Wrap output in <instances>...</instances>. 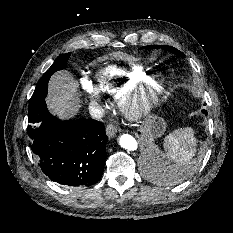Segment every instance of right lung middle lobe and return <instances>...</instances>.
<instances>
[{
  "instance_id": "dd1d6c3e",
  "label": "right lung middle lobe",
  "mask_w": 233,
  "mask_h": 233,
  "mask_svg": "<svg viewBox=\"0 0 233 233\" xmlns=\"http://www.w3.org/2000/svg\"><path fill=\"white\" fill-rule=\"evenodd\" d=\"M69 57L70 53L58 56L35 88V91L29 102L28 112V122L30 123V125L27 128V133L31 142L38 132L42 121L49 114L45 104V97L47 95L46 83L49 81L51 75L54 72L58 70H63L66 67ZM44 82L46 83L44 84Z\"/></svg>"
}]
</instances>
